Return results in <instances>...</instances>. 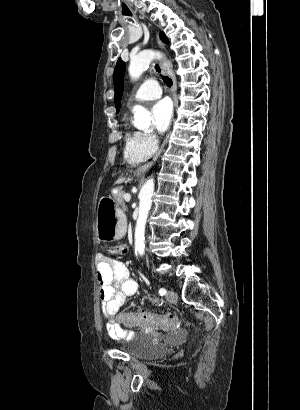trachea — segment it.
Masks as SVG:
<instances>
[{"mask_svg":"<svg viewBox=\"0 0 300 410\" xmlns=\"http://www.w3.org/2000/svg\"><path fill=\"white\" fill-rule=\"evenodd\" d=\"M155 69H156V71H157L158 73L161 72L160 67H159L158 64L155 65ZM162 79H163L164 83H165L168 87H171V86H172V80H171V78H169L168 76H163V75H162Z\"/></svg>","mask_w":300,"mask_h":410,"instance_id":"obj_1","label":"trachea"}]
</instances>
